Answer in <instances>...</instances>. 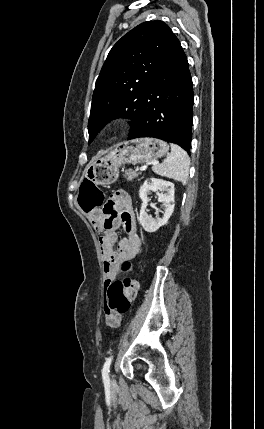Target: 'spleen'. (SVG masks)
Segmentation results:
<instances>
[{"label":"spleen","instance_id":"1","mask_svg":"<svg viewBox=\"0 0 264 429\" xmlns=\"http://www.w3.org/2000/svg\"><path fill=\"white\" fill-rule=\"evenodd\" d=\"M171 153L161 164H154L153 172L186 184L189 175L190 160L188 154L180 146L171 143Z\"/></svg>","mask_w":264,"mask_h":429}]
</instances>
